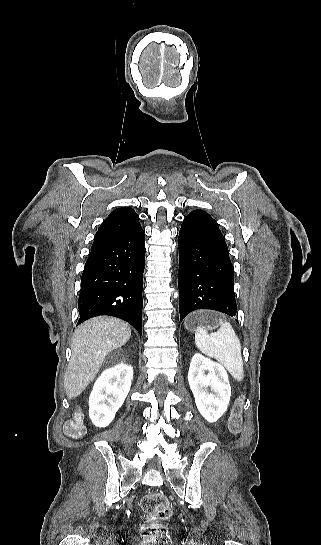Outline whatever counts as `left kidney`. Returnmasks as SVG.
Listing matches in <instances>:
<instances>
[{
    "mask_svg": "<svg viewBox=\"0 0 321 545\" xmlns=\"http://www.w3.org/2000/svg\"><path fill=\"white\" fill-rule=\"evenodd\" d=\"M188 383L199 413L209 423H216L227 411L231 397V387L224 367L196 353L191 359ZM208 387L212 393H209Z\"/></svg>",
    "mask_w": 321,
    "mask_h": 545,
    "instance_id": "5707ae66",
    "label": "left kidney"
}]
</instances>
